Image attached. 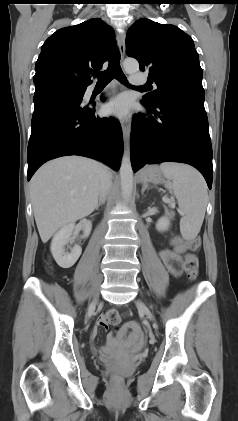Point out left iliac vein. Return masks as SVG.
Here are the masks:
<instances>
[{"instance_id":"1","label":"left iliac vein","mask_w":238,"mask_h":421,"mask_svg":"<svg viewBox=\"0 0 238 421\" xmlns=\"http://www.w3.org/2000/svg\"><path fill=\"white\" fill-rule=\"evenodd\" d=\"M136 305H137L138 309L141 310L149 320L154 319L150 309L147 307V305L144 302L138 300L136 302Z\"/></svg>"}]
</instances>
